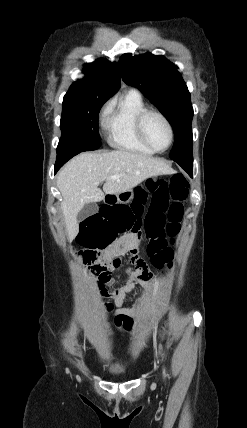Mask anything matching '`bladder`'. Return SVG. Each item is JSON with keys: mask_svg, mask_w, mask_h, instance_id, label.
<instances>
[{"mask_svg": "<svg viewBox=\"0 0 247 428\" xmlns=\"http://www.w3.org/2000/svg\"><path fill=\"white\" fill-rule=\"evenodd\" d=\"M102 367L107 373L114 376H120L125 373V367L116 362L104 361Z\"/></svg>", "mask_w": 247, "mask_h": 428, "instance_id": "obj_1", "label": "bladder"}]
</instances>
